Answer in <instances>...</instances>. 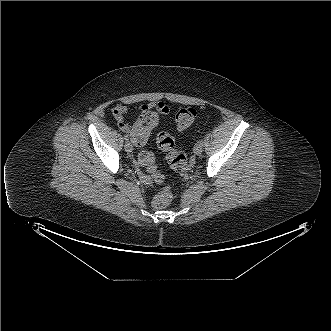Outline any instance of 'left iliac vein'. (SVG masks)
Masks as SVG:
<instances>
[{
    "label": "left iliac vein",
    "instance_id": "obj_1",
    "mask_svg": "<svg viewBox=\"0 0 331 331\" xmlns=\"http://www.w3.org/2000/svg\"><path fill=\"white\" fill-rule=\"evenodd\" d=\"M203 151V146L202 144L200 143H197L195 144L194 148H193V152L196 154V155H200Z\"/></svg>",
    "mask_w": 331,
    "mask_h": 331
}]
</instances>
